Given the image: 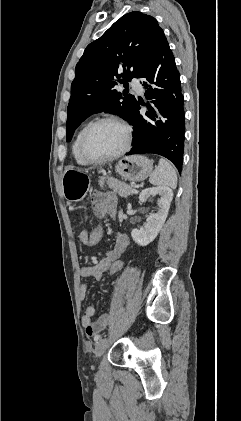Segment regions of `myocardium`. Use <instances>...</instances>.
<instances>
[{
  "label": "myocardium",
  "mask_w": 241,
  "mask_h": 421,
  "mask_svg": "<svg viewBox=\"0 0 241 421\" xmlns=\"http://www.w3.org/2000/svg\"><path fill=\"white\" fill-rule=\"evenodd\" d=\"M103 123H114L119 125L120 127L123 128L124 130V134H125V139H124V143L122 145V147L108 155L105 157H101V158H95L92 157L88 154L87 150H86V140L87 137L89 135V133L98 125L103 124ZM132 142V128L131 126L124 120L115 117V116H105V117H101L98 118L94 121H92L91 123H89L86 128L83 130L81 137H80V141H79V151L80 154L82 156V158L87 161L90 164H103L112 160H115L117 158H119L120 156L124 155L130 148Z\"/></svg>",
  "instance_id": "myocardium-1"
}]
</instances>
